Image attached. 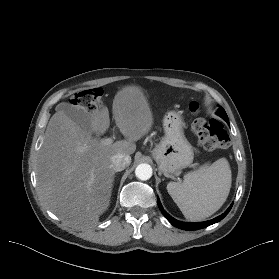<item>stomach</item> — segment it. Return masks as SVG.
Returning a JSON list of instances; mask_svg holds the SVG:
<instances>
[{
    "instance_id": "1",
    "label": "stomach",
    "mask_w": 279,
    "mask_h": 279,
    "mask_svg": "<svg viewBox=\"0 0 279 279\" xmlns=\"http://www.w3.org/2000/svg\"><path fill=\"white\" fill-rule=\"evenodd\" d=\"M184 127L180 112L169 111L164 116L165 135L152 151L159 171L164 175L177 173L193 162V147L184 135Z\"/></svg>"
}]
</instances>
